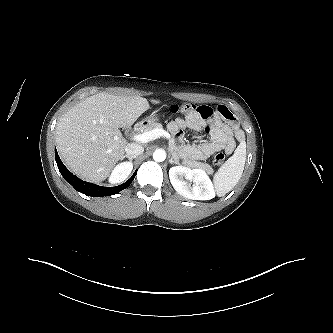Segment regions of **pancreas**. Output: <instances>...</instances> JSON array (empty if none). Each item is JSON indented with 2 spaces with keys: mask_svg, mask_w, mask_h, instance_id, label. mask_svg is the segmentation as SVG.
Listing matches in <instances>:
<instances>
[{
  "mask_svg": "<svg viewBox=\"0 0 333 333\" xmlns=\"http://www.w3.org/2000/svg\"><path fill=\"white\" fill-rule=\"evenodd\" d=\"M156 128L162 129V124L158 123V122H152V123L148 124L147 126L143 127V130H144V132H148V131H151ZM170 145H172V146L174 145V140H171ZM174 155H177V153L175 151H174ZM183 164L188 167H191V168L204 169L207 172L213 171L212 167L207 163H201V162H197V161H184Z\"/></svg>",
  "mask_w": 333,
  "mask_h": 333,
  "instance_id": "cf45deb5",
  "label": "pancreas"
}]
</instances>
